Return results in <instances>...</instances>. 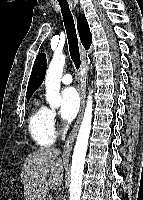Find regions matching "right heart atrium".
Here are the masks:
<instances>
[{
  "instance_id": "d8ad5b80",
  "label": "right heart atrium",
  "mask_w": 143,
  "mask_h": 200,
  "mask_svg": "<svg viewBox=\"0 0 143 200\" xmlns=\"http://www.w3.org/2000/svg\"><path fill=\"white\" fill-rule=\"evenodd\" d=\"M48 119L52 131L55 132L57 129V117L56 113L51 109H48Z\"/></svg>"
}]
</instances>
